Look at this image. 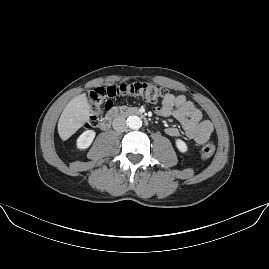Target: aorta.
<instances>
[{
    "mask_svg": "<svg viewBox=\"0 0 269 269\" xmlns=\"http://www.w3.org/2000/svg\"><path fill=\"white\" fill-rule=\"evenodd\" d=\"M127 124L131 129H139L142 126V120L138 116H130L127 120Z\"/></svg>",
    "mask_w": 269,
    "mask_h": 269,
    "instance_id": "obj_1",
    "label": "aorta"
}]
</instances>
